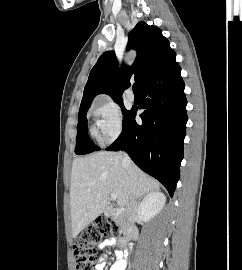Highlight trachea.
<instances>
[{"label":"trachea","instance_id":"trachea-1","mask_svg":"<svg viewBox=\"0 0 242 270\" xmlns=\"http://www.w3.org/2000/svg\"><path fill=\"white\" fill-rule=\"evenodd\" d=\"M133 91H134V92H140V90H139V84H138V83H135V84L133 85Z\"/></svg>","mask_w":242,"mask_h":270}]
</instances>
